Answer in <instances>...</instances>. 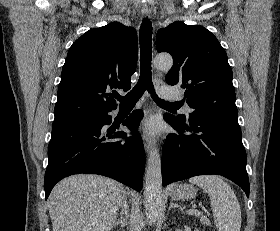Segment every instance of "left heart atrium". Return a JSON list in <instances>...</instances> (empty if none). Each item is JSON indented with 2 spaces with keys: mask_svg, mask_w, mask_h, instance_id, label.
I'll return each instance as SVG.
<instances>
[{
  "mask_svg": "<svg viewBox=\"0 0 280 231\" xmlns=\"http://www.w3.org/2000/svg\"><path fill=\"white\" fill-rule=\"evenodd\" d=\"M159 130L158 123L155 119L150 118L142 122L138 131L147 135H155Z\"/></svg>",
  "mask_w": 280,
  "mask_h": 231,
  "instance_id": "1",
  "label": "left heart atrium"
}]
</instances>
